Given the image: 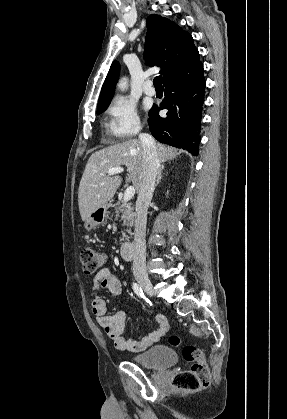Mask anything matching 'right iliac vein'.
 <instances>
[{
  "label": "right iliac vein",
  "instance_id": "right-iliac-vein-1",
  "mask_svg": "<svg viewBox=\"0 0 287 419\" xmlns=\"http://www.w3.org/2000/svg\"><path fill=\"white\" fill-rule=\"evenodd\" d=\"M136 280L140 284V286L145 290L146 293H148L149 295L153 294L152 283L148 277L136 276Z\"/></svg>",
  "mask_w": 287,
  "mask_h": 419
}]
</instances>
